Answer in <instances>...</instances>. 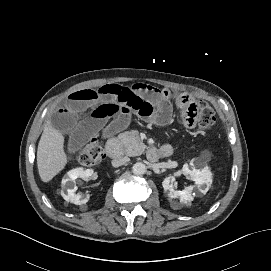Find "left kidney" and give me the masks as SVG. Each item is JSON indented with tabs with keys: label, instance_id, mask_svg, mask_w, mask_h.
<instances>
[{
	"label": "left kidney",
	"instance_id": "obj_1",
	"mask_svg": "<svg viewBox=\"0 0 271 271\" xmlns=\"http://www.w3.org/2000/svg\"><path fill=\"white\" fill-rule=\"evenodd\" d=\"M181 173L189 175L190 179L194 181L200 191H206L211 185V172L207 167H204L201 170H189L187 166H184L182 170L175 172L173 176L165 178L162 182L165 192H167L168 197L171 199L179 198L181 203H189L193 199L192 192L195 188L194 186H188L182 191L174 189L173 184L175 182V177L180 176Z\"/></svg>",
	"mask_w": 271,
	"mask_h": 271
}]
</instances>
